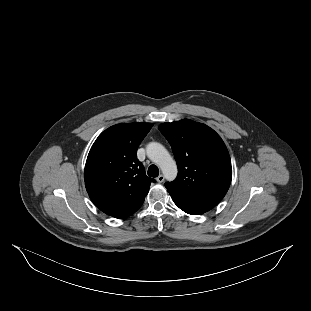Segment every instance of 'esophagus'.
I'll return each mask as SVG.
<instances>
[{
	"label": "esophagus",
	"instance_id": "1",
	"mask_svg": "<svg viewBox=\"0 0 311 311\" xmlns=\"http://www.w3.org/2000/svg\"><path fill=\"white\" fill-rule=\"evenodd\" d=\"M164 179H165V177H164L162 174H160V175L156 178L157 182H159V183L163 182Z\"/></svg>",
	"mask_w": 311,
	"mask_h": 311
}]
</instances>
